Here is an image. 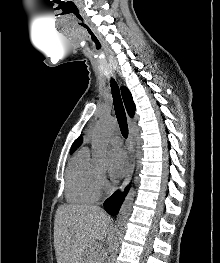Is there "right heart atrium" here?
Listing matches in <instances>:
<instances>
[{"label": "right heart atrium", "mask_w": 220, "mask_h": 263, "mask_svg": "<svg viewBox=\"0 0 220 263\" xmlns=\"http://www.w3.org/2000/svg\"><path fill=\"white\" fill-rule=\"evenodd\" d=\"M99 186L104 187L106 185V179L103 174L98 175Z\"/></svg>", "instance_id": "right-heart-atrium-1"}]
</instances>
